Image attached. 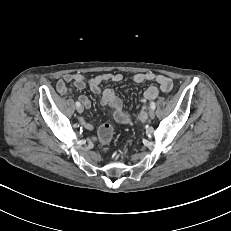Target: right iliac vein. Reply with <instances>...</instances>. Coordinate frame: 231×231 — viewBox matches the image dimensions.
Returning <instances> with one entry per match:
<instances>
[{"label":"right iliac vein","instance_id":"1","mask_svg":"<svg viewBox=\"0 0 231 231\" xmlns=\"http://www.w3.org/2000/svg\"><path fill=\"white\" fill-rule=\"evenodd\" d=\"M77 111H78L79 113H82V112L84 111V108H83L82 106H78V107H77Z\"/></svg>","mask_w":231,"mask_h":231}]
</instances>
